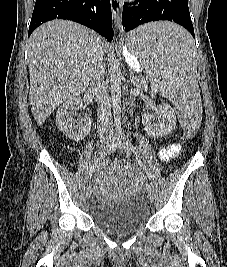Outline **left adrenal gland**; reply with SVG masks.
Returning a JSON list of instances; mask_svg holds the SVG:
<instances>
[{
  "instance_id": "1",
  "label": "left adrenal gland",
  "mask_w": 227,
  "mask_h": 267,
  "mask_svg": "<svg viewBox=\"0 0 227 267\" xmlns=\"http://www.w3.org/2000/svg\"><path fill=\"white\" fill-rule=\"evenodd\" d=\"M130 78H131V82L135 85L137 84V82L135 81L134 79V76H133V72L130 71Z\"/></svg>"
}]
</instances>
